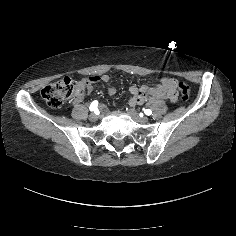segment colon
<instances>
[{
    "instance_id": "5ec220e1",
    "label": "colon",
    "mask_w": 236,
    "mask_h": 236,
    "mask_svg": "<svg viewBox=\"0 0 236 236\" xmlns=\"http://www.w3.org/2000/svg\"><path fill=\"white\" fill-rule=\"evenodd\" d=\"M92 79L74 81L68 77L55 81L41 91V96L52 108H60L67 100L84 92ZM183 100L188 99L189 86L184 82L177 84Z\"/></svg>"
}]
</instances>
